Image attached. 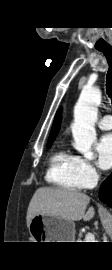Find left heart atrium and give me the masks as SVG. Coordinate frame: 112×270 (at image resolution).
<instances>
[{"label": "left heart atrium", "mask_w": 112, "mask_h": 270, "mask_svg": "<svg viewBox=\"0 0 112 270\" xmlns=\"http://www.w3.org/2000/svg\"><path fill=\"white\" fill-rule=\"evenodd\" d=\"M98 164L102 169L112 167V133L104 135L96 145Z\"/></svg>", "instance_id": "39dd6f15"}]
</instances>
